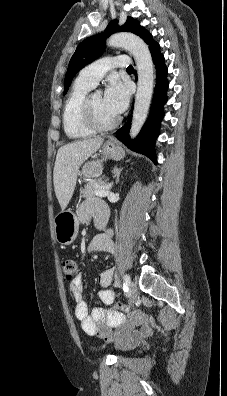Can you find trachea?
Listing matches in <instances>:
<instances>
[{"instance_id":"1","label":"trachea","mask_w":227,"mask_h":396,"mask_svg":"<svg viewBox=\"0 0 227 396\" xmlns=\"http://www.w3.org/2000/svg\"><path fill=\"white\" fill-rule=\"evenodd\" d=\"M127 70H128V71H133L134 69H133L132 66H128V67H127Z\"/></svg>"}]
</instances>
